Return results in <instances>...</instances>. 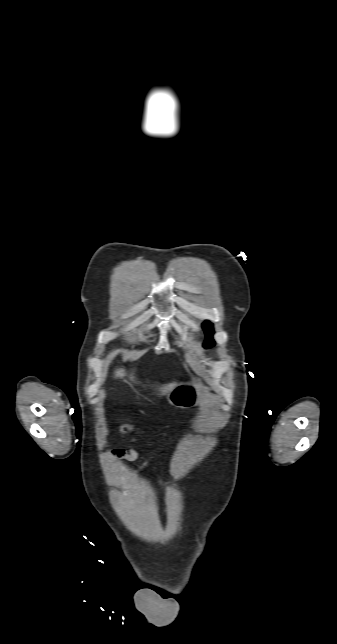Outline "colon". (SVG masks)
I'll list each match as a JSON object with an SVG mask.
<instances>
[{"label": "colon", "instance_id": "5ec220e1", "mask_svg": "<svg viewBox=\"0 0 337 644\" xmlns=\"http://www.w3.org/2000/svg\"><path fill=\"white\" fill-rule=\"evenodd\" d=\"M131 430V427L129 425H124L121 427V432L122 433H127Z\"/></svg>", "mask_w": 337, "mask_h": 644}]
</instances>
